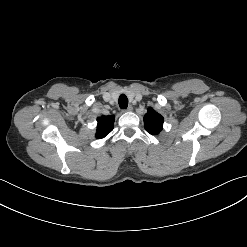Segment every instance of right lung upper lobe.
<instances>
[{"label": "right lung upper lobe", "mask_w": 247, "mask_h": 247, "mask_svg": "<svg viewBox=\"0 0 247 247\" xmlns=\"http://www.w3.org/2000/svg\"><path fill=\"white\" fill-rule=\"evenodd\" d=\"M96 138L101 139L107 136L114 127V116H101L97 118Z\"/></svg>", "instance_id": "cb5924a9"}]
</instances>
